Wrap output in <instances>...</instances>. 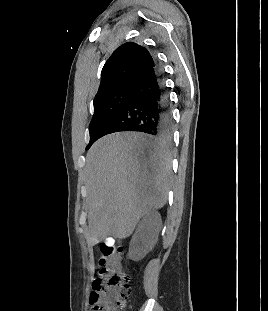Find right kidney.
Here are the masks:
<instances>
[{
    "label": "right kidney",
    "instance_id": "obj_1",
    "mask_svg": "<svg viewBox=\"0 0 268 311\" xmlns=\"http://www.w3.org/2000/svg\"><path fill=\"white\" fill-rule=\"evenodd\" d=\"M161 228L162 220L158 212L148 214L143 218L130 242L129 257L131 260L139 261L152 250L157 243Z\"/></svg>",
    "mask_w": 268,
    "mask_h": 311
}]
</instances>
